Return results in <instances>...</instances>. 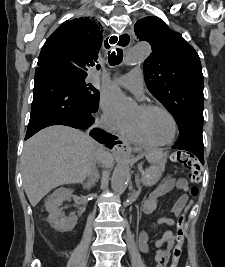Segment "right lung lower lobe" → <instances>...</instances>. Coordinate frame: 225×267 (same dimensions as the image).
Masks as SVG:
<instances>
[{
    "label": "right lung lower lobe",
    "instance_id": "obj_1",
    "mask_svg": "<svg viewBox=\"0 0 225 267\" xmlns=\"http://www.w3.org/2000/svg\"><path fill=\"white\" fill-rule=\"evenodd\" d=\"M93 110L67 76L54 68L37 67L30 120L25 140L39 130L51 125H66L77 129L90 127L95 117ZM90 135L98 142L112 148L116 137L98 129Z\"/></svg>",
    "mask_w": 225,
    "mask_h": 267
}]
</instances>
